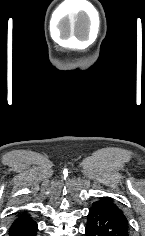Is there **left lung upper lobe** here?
Here are the masks:
<instances>
[{
  "label": "left lung upper lobe",
  "instance_id": "1",
  "mask_svg": "<svg viewBox=\"0 0 145 236\" xmlns=\"http://www.w3.org/2000/svg\"><path fill=\"white\" fill-rule=\"evenodd\" d=\"M93 208H98L106 213L113 215L115 218L123 222L128 226V220L125 217L123 211L116 205L114 200L110 197H102L98 201L94 202Z\"/></svg>",
  "mask_w": 145,
  "mask_h": 236
}]
</instances>
